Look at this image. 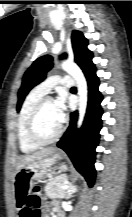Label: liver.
Returning <instances> with one entry per match:
<instances>
[{"label": "liver", "instance_id": "6515ba94", "mask_svg": "<svg viewBox=\"0 0 132 217\" xmlns=\"http://www.w3.org/2000/svg\"><path fill=\"white\" fill-rule=\"evenodd\" d=\"M55 152H58V149H56V148H45V149L36 151V152H34L32 154L24 155V156L20 157L18 159L17 163H16V171L14 173V176L24 166H26V165H28V164H30L32 162H35V161L41 160L43 158H46V157L54 154Z\"/></svg>", "mask_w": 132, "mask_h": 217}]
</instances>
